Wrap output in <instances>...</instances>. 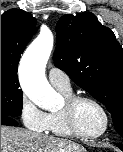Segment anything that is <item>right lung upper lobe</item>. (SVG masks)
I'll use <instances>...</instances> for the list:
<instances>
[{"mask_svg":"<svg viewBox=\"0 0 123 152\" xmlns=\"http://www.w3.org/2000/svg\"><path fill=\"white\" fill-rule=\"evenodd\" d=\"M36 19L20 9L1 16V72L17 74L20 55L36 33Z\"/></svg>","mask_w":123,"mask_h":152,"instance_id":"obj_1","label":"right lung upper lobe"}]
</instances>
